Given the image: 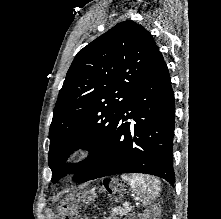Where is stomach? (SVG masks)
Returning <instances> with one entry per match:
<instances>
[{
	"label": "stomach",
	"mask_w": 221,
	"mask_h": 219,
	"mask_svg": "<svg viewBox=\"0 0 221 219\" xmlns=\"http://www.w3.org/2000/svg\"><path fill=\"white\" fill-rule=\"evenodd\" d=\"M98 183H119V178H98ZM117 188L113 185L112 190H109V195H126V190H116ZM103 198H107V195H103Z\"/></svg>",
	"instance_id": "stomach-1"
}]
</instances>
